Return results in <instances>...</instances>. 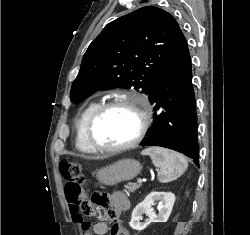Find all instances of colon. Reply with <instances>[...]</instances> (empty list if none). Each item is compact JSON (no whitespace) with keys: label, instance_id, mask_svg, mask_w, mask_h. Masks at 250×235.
<instances>
[{"label":"colon","instance_id":"5ec220e1","mask_svg":"<svg viewBox=\"0 0 250 235\" xmlns=\"http://www.w3.org/2000/svg\"><path fill=\"white\" fill-rule=\"evenodd\" d=\"M60 172L66 182L67 199L71 203L82 205L85 202V190L88 181L82 173L81 163L78 160L64 159L60 162ZM104 200V196L99 192H93L91 195V202L94 205H99ZM81 208L84 209L85 207Z\"/></svg>","mask_w":250,"mask_h":235}]
</instances>
